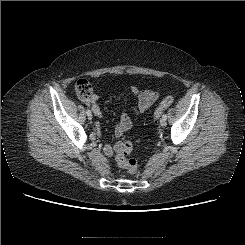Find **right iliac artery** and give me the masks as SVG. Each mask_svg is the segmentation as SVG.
Wrapping results in <instances>:
<instances>
[{
  "label": "right iliac artery",
  "mask_w": 245,
  "mask_h": 245,
  "mask_svg": "<svg viewBox=\"0 0 245 245\" xmlns=\"http://www.w3.org/2000/svg\"><path fill=\"white\" fill-rule=\"evenodd\" d=\"M86 114L89 115L91 114V111L89 109L86 110Z\"/></svg>",
  "instance_id": "1"
}]
</instances>
